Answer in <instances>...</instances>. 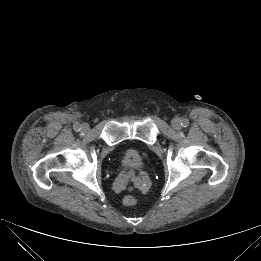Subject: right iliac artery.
Segmentation results:
<instances>
[{"label": "right iliac artery", "mask_w": 261, "mask_h": 261, "mask_svg": "<svg viewBox=\"0 0 261 261\" xmlns=\"http://www.w3.org/2000/svg\"><path fill=\"white\" fill-rule=\"evenodd\" d=\"M74 130H75V131H80V130H81L80 124L74 125Z\"/></svg>", "instance_id": "82829eb1"}]
</instances>
